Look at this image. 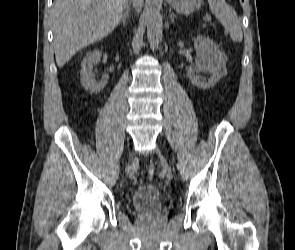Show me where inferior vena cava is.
<instances>
[{
	"label": "inferior vena cava",
	"instance_id": "inferior-vena-cava-1",
	"mask_svg": "<svg viewBox=\"0 0 295 250\" xmlns=\"http://www.w3.org/2000/svg\"><path fill=\"white\" fill-rule=\"evenodd\" d=\"M138 2H139V0H132V3H133V7L137 10V11H139L141 8H139V6H138ZM127 9V8H126ZM126 9H125V11H126Z\"/></svg>",
	"mask_w": 295,
	"mask_h": 250
}]
</instances>
